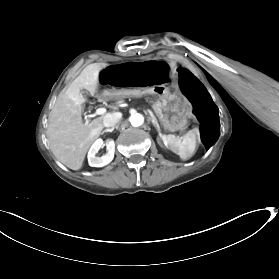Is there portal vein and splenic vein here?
I'll return each mask as SVG.
<instances>
[{"mask_svg":"<svg viewBox=\"0 0 279 279\" xmlns=\"http://www.w3.org/2000/svg\"><path fill=\"white\" fill-rule=\"evenodd\" d=\"M95 113L96 115H102L106 113V108H98Z\"/></svg>","mask_w":279,"mask_h":279,"instance_id":"1","label":"portal vein and splenic vein"}]
</instances>
